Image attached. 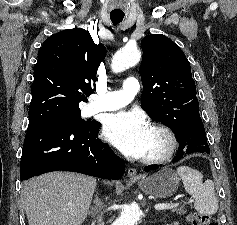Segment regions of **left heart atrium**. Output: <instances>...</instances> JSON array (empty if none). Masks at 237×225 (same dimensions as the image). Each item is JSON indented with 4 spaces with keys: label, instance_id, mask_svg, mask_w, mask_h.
Wrapping results in <instances>:
<instances>
[{
    "label": "left heart atrium",
    "instance_id": "left-heart-atrium-1",
    "mask_svg": "<svg viewBox=\"0 0 237 225\" xmlns=\"http://www.w3.org/2000/svg\"><path fill=\"white\" fill-rule=\"evenodd\" d=\"M149 128L137 112L121 111L110 115L103 128L104 137L123 154L140 158L147 150Z\"/></svg>",
    "mask_w": 237,
    "mask_h": 225
}]
</instances>
